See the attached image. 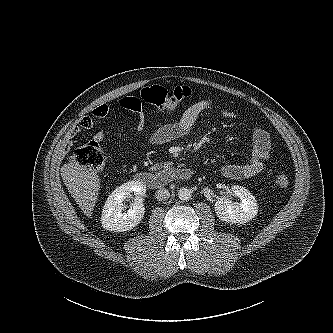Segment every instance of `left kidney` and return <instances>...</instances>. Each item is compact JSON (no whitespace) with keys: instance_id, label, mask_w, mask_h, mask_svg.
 I'll list each match as a JSON object with an SVG mask.
<instances>
[{"instance_id":"5707ae66","label":"left kidney","mask_w":333,"mask_h":333,"mask_svg":"<svg viewBox=\"0 0 333 333\" xmlns=\"http://www.w3.org/2000/svg\"><path fill=\"white\" fill-rule=\"evenodd\" d=\"M231 191L241 202H232L220 198L215 203V212L218 218L232 224H244L252 220L258 213V205L255 197L244 187L234 185Z\"/></svg>"}]
</instances>
